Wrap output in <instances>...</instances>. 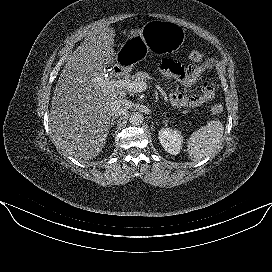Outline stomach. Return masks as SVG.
Wrapping results in <instances>:
<instances>
[{
  "instance_id": "1",
  "label": "stomach",
  "mask_w": 272,
  "mask_h": 272,
  "mask_svg": "<svg viewBox=\"0 0 272 272\" xmlns=\"http://www.w3.org/2000/svg\"><path fill=\"white\" fill-rule=\"evenodd\" d=\"M185 30L175 22L149 21L137 35L128 37L116 55L117 65L132 68L148 52L164 54L179 49Z\"/></svg>"
}]
</instances>
